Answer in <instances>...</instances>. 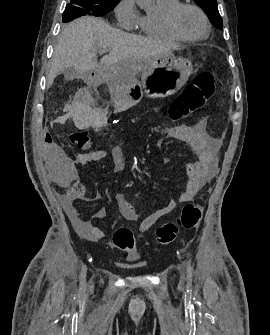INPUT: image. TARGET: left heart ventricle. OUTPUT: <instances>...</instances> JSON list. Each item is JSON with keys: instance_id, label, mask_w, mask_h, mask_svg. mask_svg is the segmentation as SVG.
<instances>
[{"instance_id": "1", "label": "left heart ventricle", "mask_w": 270, "mask_h": 335, "mask_svg": "<svg viewBox=\"0 0 270 335\" xmlns=\"http://www.w3.org/2000/svg\"><path fill=\"white\" fill-rule=\"evenodd\" d=\"M178 25L188 36H200L205 32L204 22L200 14L192 8H184L180 12Z\"/></svg>"}]
</instances>
